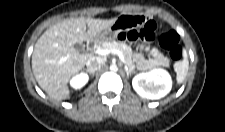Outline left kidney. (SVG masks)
Wrapping results in <instances>:
<instances>
[{
    "instance_id": "left-kidney-1",
    "label": "left kidney",
    "mask_w": 225,
    "mask_h": 132,
    "mask_svg": "<svg viewBox=\"0 0 225 132\" xmlns=\"http://www.w3.org/2000/svg\"><path fill=\"white\" fill-rule=\"evenodd\" d=\"M132 86L141 97L156 100L170 92L172 80L166 70L154 69L137 74L132 80Z\"/></svg>"
}]
</instances>
